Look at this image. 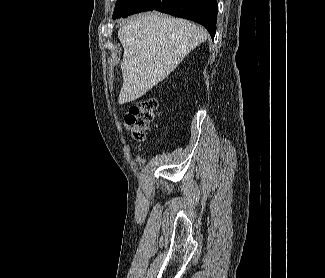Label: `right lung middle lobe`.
Masks as SVG:
<instances>
[{"label":"right lung middle lobe","instance_id":"dd1d6c3e","mask_svg":"<svg viewBox=\"0 0 325 278\" xmlns=\"http://www.w3.org/2000/svg\"><path fill=\"white\" fill-rule=\"evenodd\" d=\"M135 0H117L115 10L113 13V19L127 16L134 9Z\"/></svg>","mask_w":325,"mask_h":278}]
</instances>
